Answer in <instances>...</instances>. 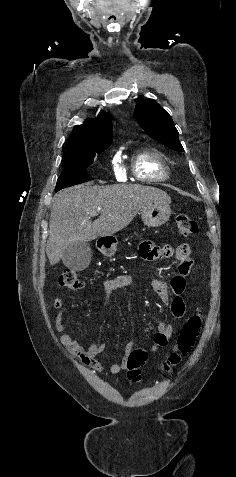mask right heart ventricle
<instances>
[{
    "instance_id": "right-heart-ventricle-1",
    "label": "right heart ventricle",
    "mask_w": 236,
    "mask_h": 477,
    "mask_svg": "<svg viewBox=\"0 0 236 477\" xmlns=\"http://www.w3.org/2000/svg\"><path fill=\"white\" fill-rule=\"evenodd\" d=\"M134 177L143 182H157L169 177V169L162 155L154 149L137 153L131 160Z\"/></svg>"
}]
</instances>
